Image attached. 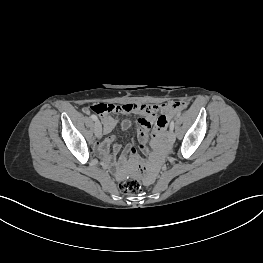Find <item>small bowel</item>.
I'll return each instance as SVG.
<instances>
[{
    "label": "small bowel",
    "instance_id": "1",
    "mask_svg": "<svg viewBox=\"0 0 263 263\" xmlns=\"http://www.w3.org/2000/svg\"><path fill=\"white\" fill-rule=\"evenodd\" d=\"M168 103L169 106L163 112H159L158 114H155L154 112L152 114H138L140 115V118L136 123L137 139L139 147L143 152H147V143L152 147L150 166L142 164L141 159L136 153L135 147L131 143L125 147L120 159L114 161L113 156L121 150V144L116 143L112 145L114 136H108L102 141L97 142L95 147L97 154L108 162H113L119 177H123L131 169L135 176H140L142 173L148 172L145 176V181L147 183H152L154 181V176L157 174L158 168L162 164L161 154L163 143L161 144V141L164 139V134L167 132L166 126L171 121V117L179 109V104L174 100H169ZM100 119L105 134H110L119 124V121L113 118L110 114H100ZM120 126L122 130H127L131 126V121L129 119H124L120 122ZM152 126L153 134L152 137H150L149 134Z\"/></svg>",
    "mask_w": 263,
    "mask_h": 263
}]
</instances>
